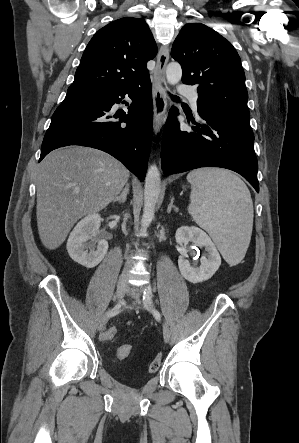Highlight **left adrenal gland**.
Returning <instances> with one entry per match:
<instances>
[{"mask_svg":"<svg viewBox=\"0 0 299 443\" xmlns=\"http://www.w3.org/2000/svg\"><path fill=\"white\" fill-rule=\"evenodd\" d=\"M173 202H174V198L172 197V198H171V201H170V203H169V205H168V208H167V213H168V214L171 213V210H172V209H174L175 212H178V208H177L176 206L173 205Z\"/></svg>","mask_w":299,"mask_h":443,"instance_id":"obj_1","label":"left adrenal gland"}]
</instances>
